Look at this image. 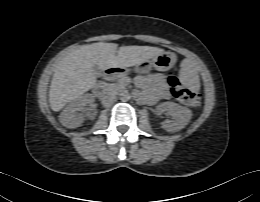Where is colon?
Returning <instances> with one entry per match:
<instances>
[{
  "instance_id": "5ec220e1",
  "label": "colon",
  "mask_w": 260,
  "mask_h": 202,
  "mask_svg": "<svg viewBox=\"0 0 260 202\" xmlns=\"http://www.w3.org/2000/svg\"><path fill=\"white\" fill-rule=\"evenodd\" d=\"M168 85L170 86L172 96L179 102L190 107H196L200 104V94L197 92H192L186 88L175 74H169Z\"/></svg>"
}]
</instances>
